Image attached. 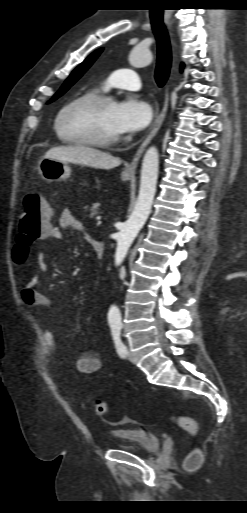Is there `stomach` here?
Segmentation results:
<instances>
[{"mask_svg":"<svg viewBox=\"0 0 247 513\" xmlns=\"http://www.w3.org/2000/svg\"><path fill=\"white\" fill-rule=\"evenodd\" d=\"M38 172L43 180L53 183L67 179L71 174V169L67 162H61L52 158H42L38 164ZM121 179L127 181L131 177L121 174Z\"/></svg>","mask_w":247,"mask_h":513,"instance_id":"1","label":"stomach"}]
</instances>
